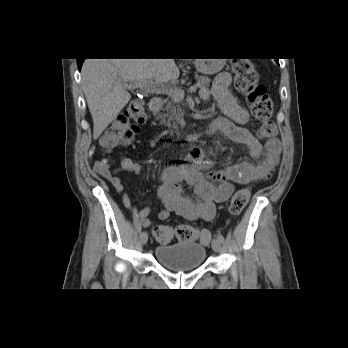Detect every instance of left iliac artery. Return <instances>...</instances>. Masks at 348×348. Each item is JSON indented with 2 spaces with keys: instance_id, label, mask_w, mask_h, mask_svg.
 Listing matches in <instances>:
<instances>
[{
  "instance_id": "left-iliac-artery-1",
  "label": "left iliac artery",
  "mask_w": 348,
  "mask_h": 348,
  "mask_svg": "<svg viewBox=\"0 0 348 348\" xmlns=\"http://www.w3.org/2000/svg\"><path fill=\"white\" fill-rule=\"evenodd\" d=\"M217 239H218L221 243L224 242V237H223V235H222L221 233L218 234Z\"/></svg>"
}]
</instances>
